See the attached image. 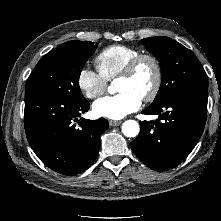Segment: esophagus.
<instances>
[{
  "mask_svg": "<svg viewBox=\"0 0 221 221\" xmlns=\"http://www.w3.org/2000/svg\"><path fill=\"white\" fill-rule=\"evenodd\" d=\"M121 123H122L121 121H114V120L109 121L110 126H119Z\"/></svg>",
  "mask_w": 221,
  "mask_h": 221,
  "instance_id": "obj_1",
  "label": "esophagus"
}]
</instances>
